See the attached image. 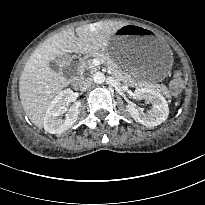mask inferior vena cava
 Here are the masks:
<instances>
[{
    "label": "inferior vena cava",
    "mask_w": 205,
    "mask_h": 205,
    "mask_svg": "<svg viewBox=\"0 0 205 205\" xmlns=\"http://www.w3.org/2000/svg\"><path fill=\"white\" fill-rule=\"evenodd\" d=\"M93 83V80L91 78H87L82 83V90H87Z\"/></svg>",
    "instance_id": "1"
}]
</instances>
